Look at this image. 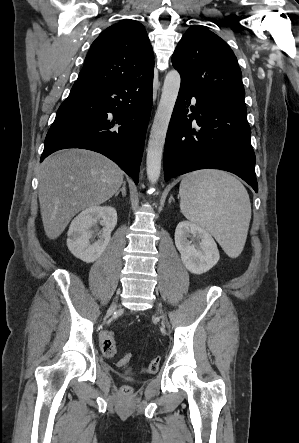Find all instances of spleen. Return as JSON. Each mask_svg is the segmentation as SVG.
Masks as SVG:
<instances>
[{
	"mask_svg": "<svg viewBox=\"0 0 299 443\" xmlns=\"http://www.w3.org/2000/svg\"><path fill=\"white\" fill-rule=\"evenodd\" d=\"M179 196L182 214L210 232L228 256L242 252L251 204L239 180L222 171H197L181 181Z\"/></svg>",
	"mask_w": 299,
	"mask_h": 443,
	"instance_id": "obj_1",
	"label": "spleen"
}]
</instances>
